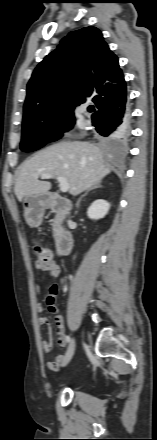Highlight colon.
Masks as SVG:
<instances>
[{
    "label": "colon",
    "instance_id": "colon-1",
    "mask_svg": "<svg viewBox=\"0 0 157 440\" xmlns=\"http://www.w3.org/2000/svg\"><path fill=\"white\" fill-rule=\"evenodd\" d=\"M34 253L37 257L36 266L46 265L52 260L51 253L49 252V250L39 244H36L34 246ZM56 292H57V287L53 286L51 288V294H55ZM48 302L54 304V297L50 296Z\"/></svg>",
    "mask_w": 157,
    "mask_h": 440
}]
</instances>
